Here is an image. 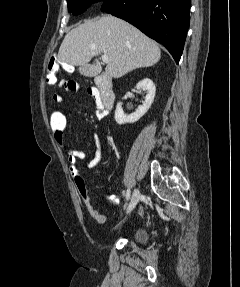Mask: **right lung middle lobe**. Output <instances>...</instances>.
I'll return each instance as SVG.
<instances>
[{
    "instance_id": "right-lung-middle-lobe-1",
    "label": "right lung middle lobe",
    "mask_w": 240,
    "mask_h": 287,
    "mask_svg": "<svg viewBox=\"0 0 240 287\" xmlns=\"http://www.w3.org/2000/svg\"><path fill=\"white\" fill-rule=\"evenodd\" d=\"M105 0H67L68 11L74 15L83 13L90 5L103 3Z\"/></svg>"
}]
</instances>
